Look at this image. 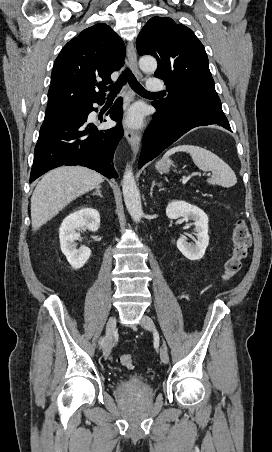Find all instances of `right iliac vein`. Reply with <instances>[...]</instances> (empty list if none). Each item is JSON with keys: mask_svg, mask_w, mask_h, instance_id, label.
<instances>
[{"mask_svg": "<svg viewBox=\"0 0 272 452\" xmlns=\"http://www.w3.org/2000/svg\"><path fill=\"white\" fill-rule=\"evenodd\" d=\"M116 328V318L114 316L110 317L107 325H106V336L103 346V354L107 358L110 355L111 352V345H112V337L114 330Z\"/></svg>", "mask_w": 272, "mask_h": 452, "instance_id": "63e3f726", "label": "right iliac vein"}]
</instances>
